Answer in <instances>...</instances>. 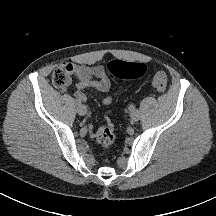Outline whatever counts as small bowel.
Returning a JSON list of instances; mask_svg holds the SVG:
<instances>
[{"mask_svg": "<svg viewBox=\"0 0 216 216\" xmlns=\"http://www.w3.org/2000/svg\"><path fill=\"white\" fill-rule=\"evenodd\" d=\"M70 68V72L76 79V90L75 97L81 101H86L87 97L83 90L85 88H94L97 91L107 93V95L102 99L104 105H109L113 101V96L111 95V84L108 80L104 67L101 65H80V64H67ZM91 136L95 137L97 130L91 129Z\"/></svg>", "mask_w": 216, "mask_h": 216, "instance_id": "small-bowel-1", "label": "small bowel"}]
</instances>
